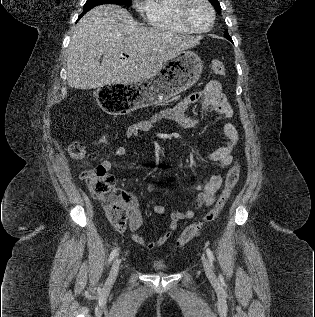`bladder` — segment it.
<instances>
[{
    "mask_svg": "<svg viewBox=\"0 0 315 317\" xmlns=\"http://www.w3.org/2000/svg\"><path fill=\"white\" fill-rule=\"evenodd\" d=\"M153 268L158 271H164L167 269V265L162 261H155L153 263Z\"/></svg>",
    "mask_w": 315,
    "mask_h": 317,
    "instance_id": "1",
    "label": "bladder"
}]
</instances>
